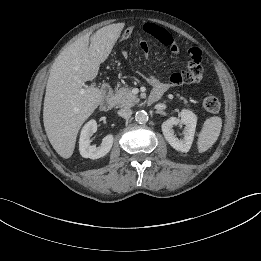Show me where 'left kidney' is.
<instances>
[{"label": "left kidney", "mask_w": 261, "mask_h": 261, "mask_svg": "<svg viewBox=\"0 0 261 261\" xmlns=\"http://www.w3.org/2000/svg\"><path fill=\"white\" fill-rule=\"evenodd\" d=\"M178 124L185 125L184 137L182 139H178L173 130V127ZM196 124V115L190 110L183 109L181 118L170 117L162 123L161 128L165 139L175 150L188 152L194 139Z\"/></svg>", "instance_id": "5707ae66"}]
</instances>
